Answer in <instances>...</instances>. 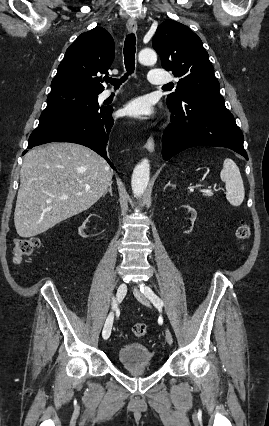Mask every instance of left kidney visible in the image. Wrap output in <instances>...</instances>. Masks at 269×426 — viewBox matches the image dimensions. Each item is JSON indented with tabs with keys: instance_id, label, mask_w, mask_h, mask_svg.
Here are the masks:
<instances>
[{
	"instance_id": "5707ae66",
	"label": "left kidney",
	"mask_w": 269,
	"mask_h": 426,
	"mask_svg": "<svg viewBox=\"0 0 269 426\" xmlns=\"http://www.w3.org/2000/svg\"><path fill=\"white\" fill-rule=\"evenodd\" d=\"M183 207L188 210V213L190 214V221H191V224H192V226L188 230H185L184 233H190L193 229L194 221L197 218V212L194 208H192L189 205H184Z\"/></svg>"
}]
</instances>
